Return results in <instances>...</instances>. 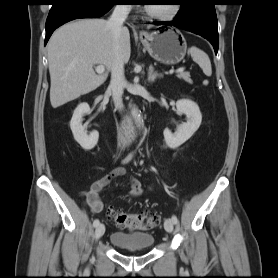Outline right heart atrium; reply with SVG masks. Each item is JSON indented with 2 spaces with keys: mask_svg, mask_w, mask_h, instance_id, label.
Returning a JSON list of instances; mask_svg holds the SVG:
<instances>
[{
  "mask_svg": "<svg viewBox=\"0 0 278 278\" xmlns=\"http://www.w3.org/2000/svg\"><path fill=\"white\" fill-rule=\"evenodd\" d=\"M125 7H126V8H130L131 6H130V5H126Z\"/></svg>",
  "mask_w": 278,
  "mask_h": 278,
  "instance_id": "right-heart-atrium-1",
  "label": "right heart atrium"
}]
</instances>
